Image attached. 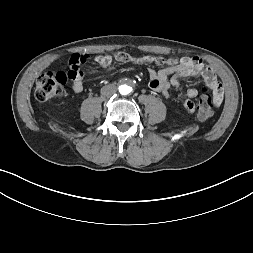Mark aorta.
I'll return each instance as SVG.
<instances>
[{
    "label": "aorta",
    "mask_w": 253,
    "mask_h": 253,
    "mask_svg": "<svg viewBox=\"0 0 253 253\" xmlns=\"http://www.w3.org/2000/svg\"><path fill=\"white\" fill-rule=\"evenodd\" d=\"M132 91V88L128 85L119 86V92L123 95H127Z\"/></svg>",
    "instance_id": "aorta-1"
}]
</instances>
